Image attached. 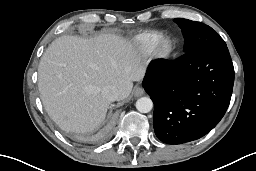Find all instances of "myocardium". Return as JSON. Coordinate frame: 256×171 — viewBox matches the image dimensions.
<instances>
[{
  "mask_svg": "<svg viewBox=\"0 0 256 171\" xmlns=\"http://www.w3.org/2000/svg\"><path fill=\"white\" fill-rule=\"evenodd\" d=\"M175 51V44L168 36H163L158 40L153 49V57L156 60L165 61L172 57Z\"/></svg>",
  "mask_w": 256,
  "mask_h": 171,
  "instance_id": "f54148a6",
  "label": "myocardium"
}]
</instances>
